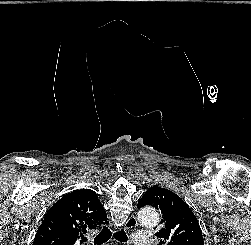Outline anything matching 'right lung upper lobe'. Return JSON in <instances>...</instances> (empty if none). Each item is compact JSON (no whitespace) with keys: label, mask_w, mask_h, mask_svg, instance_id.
<instances>
[{"label":"right lung upper lobe","mask_w":251,"mask_h":245,"mask_svg":"<svg viewBox=\"0 0 251 245\" xmlns=\"http://www.w3.org/2000/svg\"><path fill=\"white\" fill-rule=\"evenodd\" d=\"M106 221L96 192L79 189L63 196L48 210L33 245H74L80 236Z\"/></svg>","instance_id":"right-lung-upper-lobe-1"}]
</instances>
